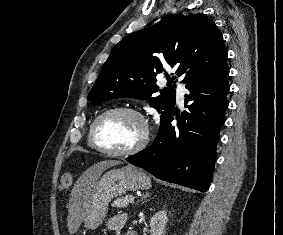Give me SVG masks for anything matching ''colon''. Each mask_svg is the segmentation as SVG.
I'll use <instances>...</instances> for the list:
<instances>
[{"label":"colon","instance_id":"obj_1","mask_svg":"<svg viewBox=\"0 0 283 235\" xmlns=\"http://www.w3.org/2000/svg\"><path fill=\"white\" fill-rule=\"evenodd\" d=\"M72 183V175L69 172L64 173L60 179L61 189H67Z\"/></svg>","mask_w":283,"mask_h":235}]
</instances>
